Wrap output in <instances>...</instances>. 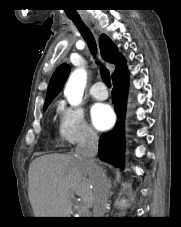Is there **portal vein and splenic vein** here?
Here are the masks:
<instances>
[{
	"instance_id": "1",
	"label": "portal vein and splenic vein",
	"mask_w": 181,
	"mask_h": 227,
	"mask_svg": "<svg viewBox=\"0 0 181 227\" xmlns=\"http://www.w3.org/2000/svg\"><path fill=\"white\" fill-rule=\"evenodd\" d=\"M85 208H86L85 205L81 206V209H82V210H85Z\"/></svg>"
}]
</instances>
